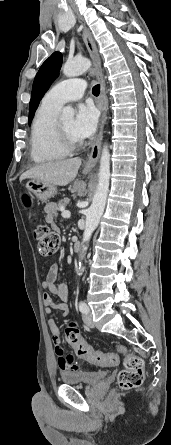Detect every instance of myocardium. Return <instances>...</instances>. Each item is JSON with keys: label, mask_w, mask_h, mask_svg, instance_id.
Masks as SVG:
<instances>
[{"label": "myocardium", "mask_w": 171, "mask_h": 445, "mask_svg": "<svg viewBox=\"0 0 171 445\" xmlns=\"http://www.w3.org/2000/svg\"><path fill=\"white\" fill-rule=\"evenodd\" d=\"M54 134L59 146L66 152H72L83 145V141H73L64 131L60 122L56 119L54 122Z\"/></svg>", "instance_id": "f54148a6"}]
</instances>
